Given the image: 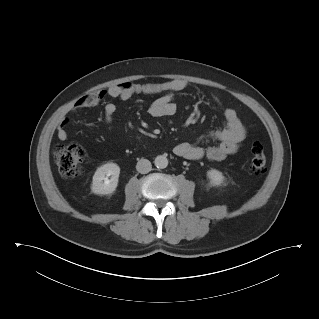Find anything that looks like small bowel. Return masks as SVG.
Listing matches in <instances>:
<instances>
[{
	"label": "small bowel",
	"instance_id": "small-bowel-1",
	"mask_svg": "<svg viewBox=\"0 0 319 319\" xmlns=\"http://www.w3.org/2000/svg\"><path fill=\"white\" fill-rule=\"evenodd\" d=\"M187 82L183 79H172L162 83L131 84L122 83L111 85L106 89L96 91L83 96L75 101L71 107L72 112L91 108L100 105L107 97L117 98L122 101L131 99L134 96L159 94V97L149 108V114L154 118H170L176 111L175 95L187 88ZM214 102L219 104L217 97ZM117 106L113 102H108L104 106V121L111 123L116 113ZM225 127L213 131L210 136L217 139L216 146L203 148L190 142H180L175 145L174 153L188 160H199L208 158L213 161H220L235 153L246 137V127L240 120L237 112L233 108L224 110ZM69 120L65 118L57 128L56 136L64 141L68 138L67 126Z\"/></svg>",
	"mask_w": 319,
	"mask_h": 319
}]
</instances>
